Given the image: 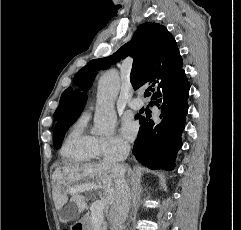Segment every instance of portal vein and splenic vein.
Masks as SVG:
<instances>
[{"label":"portal vein and splenic vein","mask_w":241,"mask_h":230,"mask_svg":"<svg viewBox=\"0 0 241 230\" xmlns=\"http://www.w3.org/2000/svg\"><path fill=\"white\" fill-rule=\"evenodd\" d=\"M85 189H89V188H85ZM107 204H108L107 201L104 199L98 200L92 204L91 216H92V221L95 225H99L103 221L104 219L103 209Z\"/></svg>","instance_id":"portal-vein-and-splenic-vein-1"}]
</instances>
